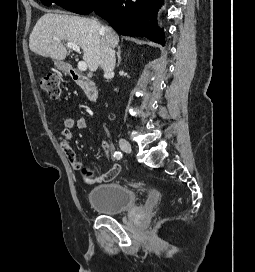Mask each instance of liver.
<instances>
[{
	"instance_id": "6515ba94",
	"label": "liver",
	"mask_w": 255,
	"mask_h": 272,
	"mask_svg": "<svg viewBox=\"0 0 255 272\" xmlns=\"http://www.w3.org/2000/svg\"><path fill=\"white\" fill-rule=\"evenodd\" d=\"M65 41L82 48L83 59L89 70L94 72L100 65L102 42L114 48L119 43V36L111 27L102 26L96 19L45 13L30 34L29 48L40 56L62 61L67 55Z\"/></svg>"
}]
</instances>
